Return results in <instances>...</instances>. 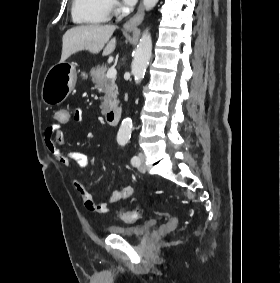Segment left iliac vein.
Returning a JSON list of instances; mask_svg holds the SVG:
<instances>
[{
    "instance_id": "4c4485c4",
    "label": "left iliac vein",
    "mask_w": 280,
    "mask_h": 283,
    "mask_svg": "<svg viewBox=\"0 0 280 283\" xmlns=\"http://www.w3.org/2000/svg\"><path fill=\"white\" fill-rule=\"evenodd\" d=\"M138 159H139V162L137 164V169L141 172V173H145L146 172V165L144 163L145 161V155L140 152L138 154Z\"/></svg>"
}]
</instances>
